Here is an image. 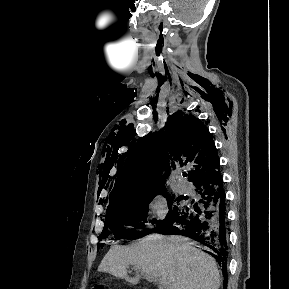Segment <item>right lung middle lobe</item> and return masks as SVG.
Instances as JSON below:
<instances>
[{
    "instance_id": "1",
    "label": "right lung middle lobe",
    "mask_w": 289,
    "mask_h": 289,
    "mask_svg": "<svg viewBox=\"0 0 289 289\" xmlns=\"http://www.w3.org/2000/svg\"><path fill=\"white\" fill-rule=\"evenodd\" d=\"M158 194H163L169 201V212L166 218L177 212L183 205L180 203L181 199H174V195L171 194L167 187L134 195L108 206L106 221L100 238L108 237L110 232L115 235L116 239H135L150 233L151 230L144 231L142 229L145 222H147L145 216L148 212V205Z\"/></svg>"
}]
</instances>
